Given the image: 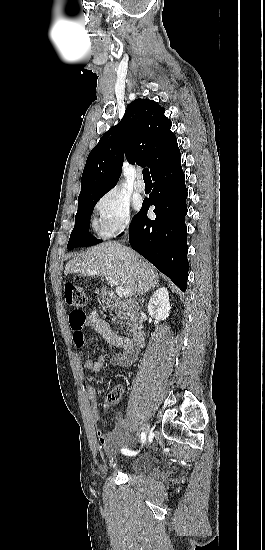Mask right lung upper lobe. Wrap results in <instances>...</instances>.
Segmentation results:
<instances>
[{
    "label": "right lung upper lobe",
    "instance_id": "cb5924a9",
    "mask_svg": "<svg viewBox=\"0 0 265 550\" xmlns=\"http://www.w3.org/2000/svg\"><path fill=\"white\" fill-rule=\"evenodd\" d=\"M157 102L138 98L126 108L120 123L110 128L90 152L78 199L103 196L119 179L124 155L131 164L152 173L179 149L172 122Z\"/></svg>",
    "mask_w": 265,
    "mask_h": 550
}]
</instances>
